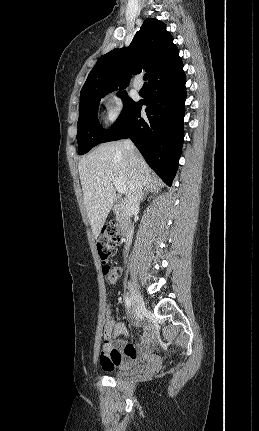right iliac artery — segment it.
<instances>
[{
	"label": "right iliac artery",
	"mask_w": 259,
	"mask_h": 431,
	"mask_svg": "<svg viewBox=\"0 0 259 431\" xmlns=\"http://www.w3.org/2000/svg\"><path fill=\"white\" fill-rule=\"evenodd\" d=\"M125 305L128 309L131 308V300L128 296L125 297Z\"/></svg>",
	"instance_id": "82829eb1"
}]
</instances>
